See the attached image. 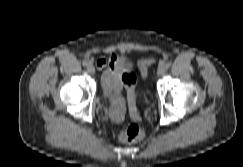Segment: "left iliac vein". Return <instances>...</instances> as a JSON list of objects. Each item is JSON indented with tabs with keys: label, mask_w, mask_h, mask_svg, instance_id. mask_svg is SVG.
I'll return each mask as SVG.
<instances>
[{
	"label": "left iliac vein",
	"mask_w": 243,
	"mask_h": 167,
	"mask_svg": "<svg viewBox=\"0 0 243 167\" xmlns=\"http://www.w3.org/2000/svg\"><path fill=\"white\" fill-rule=\"evenodd\" d=\"M165 72H166L165 66L160 65L157 70L158 75H163Z\"/></svg>",
	"instance_id": "obj_1"
}]
</instances>
